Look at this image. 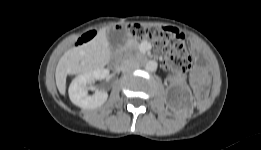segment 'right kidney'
Masks as SVG:
<instances>
[{"label": "right kidney", "instance_id": "1", "mask_svg": "<svg viewBox=\"0 0 261 150\" xmlns=\"http://www.w3.org/2000/svg\"><path fill=\"white\" fill-rule=\"evenodd\" d=\"M109 75V70L98 68L78 75L69 86V98L73 104L84 109L100 107L108 98L106 91L88 94V85L94 80H101Z\"/></svg>", "mask_w": 261, "mask_h": 150}]
</instances>
